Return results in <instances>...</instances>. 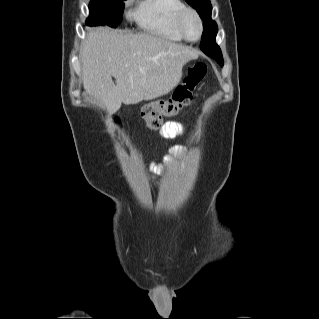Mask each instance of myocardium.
<instances>
[{"label":"myocardium","instance_id":"myocardium-1","mask_svg":"<svg viewBox=\"0 0 319 319\" xmlns=\"http://www.w3.org/2000/svg\"><path fill=\"white\" fill-rule=\"evenodd\" d=\"M190 15L196 19V21L199 25V34L196 38H190L187 35L185 28H184V21ZM174 26H175V29L178 32V34L186 41L196 42L202 37L203 22H202V19H201L199 13L193 8H189V7L184 8L175 18Z\"/></svg>","mask_w":319,"mask_h":319}]
</instances>
